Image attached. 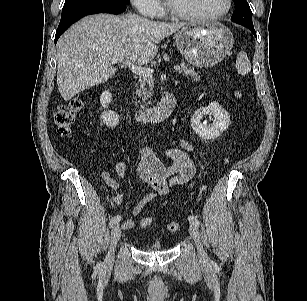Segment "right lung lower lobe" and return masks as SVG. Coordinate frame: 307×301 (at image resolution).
Returning a JSON list of instances; mask_svg holds the SVG:
<instances>
[{
  "label": "right lung lower lobe",
  "instance_id": "right-lung-lower-lobe-1",
  "mask_svg": "<svg viewBox=\"0 0 307 301\" xmlns=\"http://www.w3.org/2000/svg\"><path fill=\"white\" fill-rule=\"evenodd\" d=\"M126 10L124 4H117L112 2L94 3L77 9H73L67 12H63L61 15L60 24L56 30L55 43L58 38L63 34L68 27L79 20L80 18L97 13H111L120 14Z\"/></svg>",
  "mask_w": 307,
  "mask_h": 301
}]
</instances>
